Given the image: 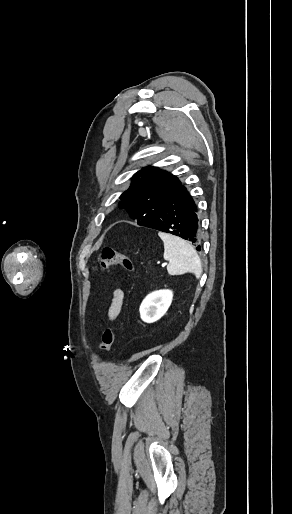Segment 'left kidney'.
<instances>
[{
  "label": "left kidney",
  "mask_w": 292,
  "mask_h": 514,
  "mask_svg": "<svg viewBox=\"0 0 292 514\" xmlns=\"http://www.w3.org/2000/svg\"><path fill=\"white\" fill-rule=\"evenodd\" d=\"M172 298L171 290H158L148 294L139 308L141 320L147 324L160 320L171 306Z\"/></svg>",
  "instance_id": "obj_1"
}]
</instances>
